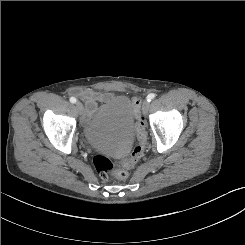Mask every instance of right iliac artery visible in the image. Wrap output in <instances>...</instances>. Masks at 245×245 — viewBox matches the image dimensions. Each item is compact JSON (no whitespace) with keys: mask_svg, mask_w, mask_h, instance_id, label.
Wrapping results in <instances>:
<instances>
[{"mask_svg":"<svg viewBox=\"0 0 245 245\" xmlns=\"http://www.w3.org/2000/svg\"><path fill=\"white\" fill-rule=\"evenodd\" d=\"M70 102H71V103H76V98H75V97H71V98H70Z\"/></svg>","mask_w":245,"mask_h":245,"instance_id":"82829eb1","label":"right iliac artery"}]
</instances>
